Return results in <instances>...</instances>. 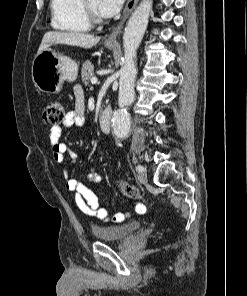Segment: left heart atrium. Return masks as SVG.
<instances>
[{
	"instance_id": "left-heart-atrium-1",
	"label": "left heart atrium",
	"mask_w": 247,
	"mask_h": 296,
	"mask_svg": "<svg viewBox=\"0 0 247 296\" xmlns=\"http://www.w3.org/2000/svg\"><path fill=\"white\" fill-rule=\"evenodd\" d=\"M125 0H99L98 14L102 17H112L119 12Z\"/></svg>"
}]
</instances>
